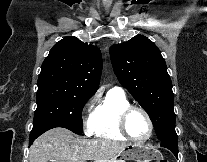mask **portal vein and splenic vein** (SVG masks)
Returning a JSON list of instances; mask_svg holds the SVG:
<instances>
[{
    "label": "portal vein and splenic vein",
    "mask_w": 207,
    "mask_h": 162,
    "mask_svg": "<svg viewBox=\"0 0 207 162\" xmlns=\"http://www.w3.org/2000/svg\"><path fill=\"white\" fill-rule=\"evenodd\" d=\"M95 162H106V161H95Z\"/></svg>",
    "instance_id": "1"
}]
</instances>
